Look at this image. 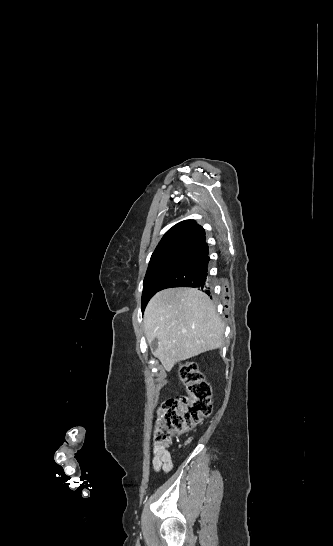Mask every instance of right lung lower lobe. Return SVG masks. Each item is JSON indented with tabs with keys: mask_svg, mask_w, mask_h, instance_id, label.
<instances>
[{
	"mask_svg": "<svg viewBox=\"0 0 333 546\" xmlns=\"http://www.w3.org/2000/svg\"><path fill=\"white\" fill-rule=\"evenodd\" d=\"M209 261L206 242L189 249L159 278L155 293L171 287H194L210 295L207 283ZM144 309L142 307V311Z\"/></svg>",
	"mask_w": 333,
	"mask_h": 546,
	"instance_id": "98d812e1",
	"label": "right lung lower lobe"
}]
</instances>
